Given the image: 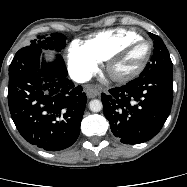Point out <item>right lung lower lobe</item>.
Wrapping results in <instances>:
<instances>
[{
    "mask_svg": "<svg viewBox=\"0 0 187 187\" xmlns=\"http://www.w3.org/2000/svg\"><path fill=\"white\" fill-rule=\"evenodd\" d=\"M42 49H20L9 66L8 104L20 134L47 151L70 147L78 138L87 97L67 78L60 54L40 61Z\"/></svg>",
    "mask_w": 187,
    "mask_h": 187,
    "instance_id": "obj_1",
    "label": "right lung lower lobe"
}]
</instances>
